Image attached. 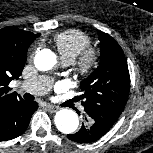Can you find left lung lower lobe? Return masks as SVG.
<instances>
[{
    "mask_svg": "<svg viewBox=\"0 0 153 153\" xmlns=\"http://www.w3.org/2000/svg\"><path fill=\"white\" fill-rule=\"evenodd\" d=\"M85 120L89 122L88 125H82L81 129L67 138L78 143H92L99 140L109 130L101 127L98 123L91 121L86 115Z\"/></svg>",
    "mask_w": 153,
    "mask_h": 153,
    "instance_id": "1",
    "label": "left lung lower lobe"
}]
</instances>
